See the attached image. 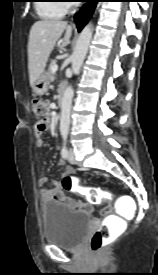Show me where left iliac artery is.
I'll list each match as a JSON object with an SVG mask.
<instances>
[{
    "mask_svg": "<svg viewBox=\"0 0 158 275\" xmlns=\"http://www.w3.org/2000/svg\"><path fill=\"white\" fill-rule=\"evenodd\" d=\"M67 135H68V132H66V131L62 132L63 147H62V149H61V155H62L63 158H66L67 155H68V150H67V146H66Z\"/></svg>",
    "mask_w": 158,
    "mask_h": 275,
    "instance_id": "44dca946",
    "label": "left iliac artery"
}]
</instances>
